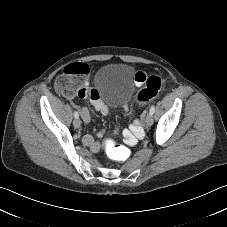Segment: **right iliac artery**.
Listing matches in <instances>:
<instances>
[{
	"label": "right iliac artery",
	"mask_w": 227,
	"mask_h": 227,
	"mask_svg": "<svg viewBox=\"0 0 227 227\" xmlns=\"http://www.w3.org/2000/svg\"><path fill=\"white\" fill-rule=\"evenodd\" d=\"M74 117H75V119H78L79 118V114H78L77 111L74 112Z\"/></svg>",
	"instance_id": "right-iliac-artery-1"
}]
</instances>
